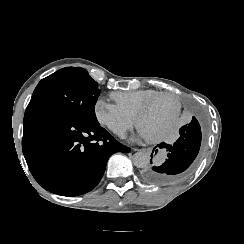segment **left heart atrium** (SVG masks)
I'll list each match as a JSON object with an SVG mask.
<instances>
[{
  "label": "left heart atrium",
  "mask_w": 244,
  "mask_h": 244,
  "mask_svg": "<svg viewBox=\"0 0 244 244\" xmlns=\"http://www.w3.org/2000/svg\"><path fill=\"white\" fill-rule=\"evenodd\" d=\"M141 133H142L144 136H147V137H149V138H151V139H157V138L160 137V135H156V134H150V133H148L145 129H142V130H141Z\"/></svg>",
  "instance_id": "left-heart-atrium-1"
}]
</instances>
